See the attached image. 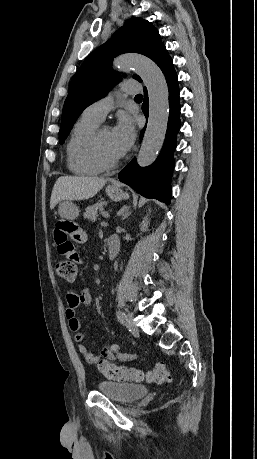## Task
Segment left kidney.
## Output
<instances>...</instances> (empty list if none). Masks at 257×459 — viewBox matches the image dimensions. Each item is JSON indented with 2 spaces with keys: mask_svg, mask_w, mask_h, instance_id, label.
<instances>
[{
  "mask_svg": "<svg viewBox=\"0 0 257 459\" xmlns=\"http://www.w3.org/2000/svg\"><path fill=\"white\" fill-rule=\"evenodd\" d=\"M149 220L146 218L141 224V231H146L148 229Z\"/></svg>",
  "mask_w": 257,
  "mask_h": 459,
  "instance_id": "obj_1",
  "label": "left kidney"
}]
</instances>
